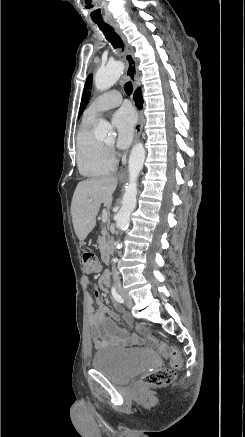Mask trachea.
I'll list each match as a JSON object with an SVG mask.
<instances>
[{"mask_svg": "<svg viewBox=\"0 0 245 437\" xmlns=\"http://www.w3.org/2000/svg\"><path fill=\"white\" fill-rule=\"evenodd\" d=\"M99 29L103 32V34L105 35L106 39L112 44V46L117 49V48H121L122 50H124V43L122 41V39L118 36V34L115 32V30L109 26L108 24L104 23V22H99V21H94ZM124 90L126 92V94L130 95L133 91V86L132 83L130 81H128L125 85H124Z\"/></svg>", "mask_w": 245, "mask_h": 437, "instance_id": "obj_1", "label": "trachea"}]
</instances>
